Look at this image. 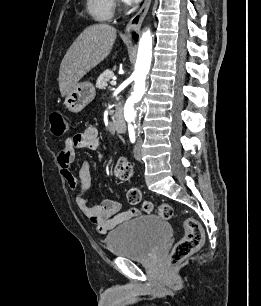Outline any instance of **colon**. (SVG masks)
<instances>
[{"mask_svg": "<svg viewBox=\"0 0 261 306\" xmlns=\"http://www.w3.org/2000/svg\"><path fill=\"white\" fill-rule=\"evenodd\" d=\"M51 131L54 135L61 136L67 132V122L60 112L54 111L49 116ZM114 176L120 181L130 182L133 176L131 163L120 158L114 167ZM128 201L134 205H141L145 212L155 211L165 220H170L174 216L171 205L166 203L153 206L152 203L143 199L141 191L137 187H130L127 192ZM204 239V234L200 223L194 218H187L184 221V236L174 245L170 252L168 261L171 266L177 265L193 252L198 250Z\"/></svg>", "mask_w": 261, "mask_h": 306, "instance_id": "5ec220e1", "label": "colon"}]
</instances>
